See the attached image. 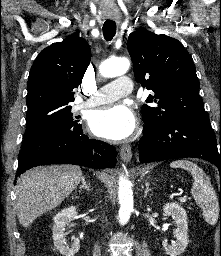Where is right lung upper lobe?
Returning a JSON list of instances; mask_svg holds the SVG:
<instances>
[{"label": "right lung upper lobe", "mask_w": 221, "mask_h": 256, "mask_svg": "<svg viewBox=\"0 0 221 256\" xmlns=\"http://www.w3.org/2000/svg\"><path fill=\"white\" fill-rule=\"evenodd\" d=\"M90 60V47L79 36H69L43 49L28 78V111L41 106H70L73 89L82 82Z\"/></svg>", "instance_id": "cb5924a9"}]
</instances>
